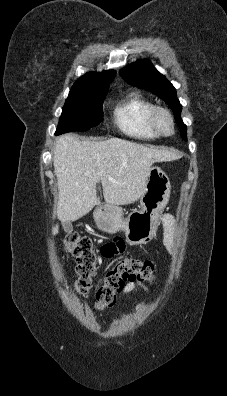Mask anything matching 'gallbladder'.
<instances>
[{"label":"gallbladder","instance_id":"1","mask_svg":"<svg viewBox=\"0 0 227 396\" xmlns=\"http://www.w3.org/2000/svg\"><path fill=\"white\" fill-rule=\"evenodd\" d=\"M62 226H63V229L65 230V232H70L73 229V227L70 224V222H63Z\"/></svg>","mask_w":227,"mask_h":396}]
</instances>
